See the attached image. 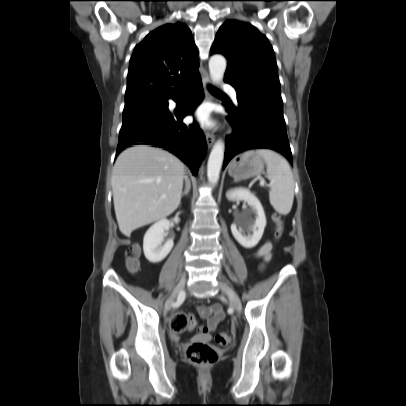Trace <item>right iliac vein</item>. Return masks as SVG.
<instances>
[{
  "mask_svg": "<svg viewBox=\"0 0 406 406\" xmlns=\"http://www.w3.org/2000/svg\"><path fill=\"white\" fill-rule=\"evenodd\" d=\"M185 278H181L176 287L174 288L173 292L171 293L170 297L165 302V311H169L172 307V304L176 297L183 291L185 287Z\"/></svg>",
  "mask_w": 406,
  "mask_h": 406,
  "instance_id": "right-iliac-vein-1",
  "label": "right iliac vein"
}]
</instances>
